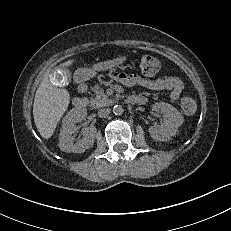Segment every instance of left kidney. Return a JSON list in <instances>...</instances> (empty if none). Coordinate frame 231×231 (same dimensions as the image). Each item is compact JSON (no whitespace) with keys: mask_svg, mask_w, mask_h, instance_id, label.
I'll list each match as a JSON object with an SVG mask.
<instances>
[{"mask_svg":"<svg viewBox=\"0 0 231 231\" xmlns=\"http://www.w3.org/2000/svg\"><path fill=\"white\" fill-rule=\"evenodd\" d=\"M156 112L164 114V121L160 126H151L148 131L156 141H167L176 134L178 128L183 124L184 118L172 105L165 102H157L152 106Z\"/></svg>","mask_w":231,"mask_h":231,"instance_id":"1","label":"left kidney"}]
</instances>
